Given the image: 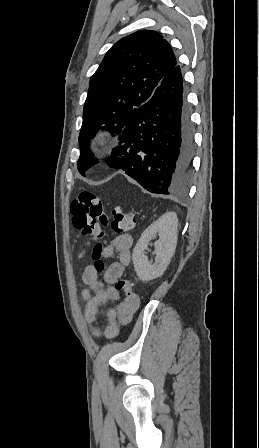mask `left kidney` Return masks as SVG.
Masks as SVG:
<instances>
[{
  "instance_id": "left-kidney-1",
  "label": "left kidney",
  "mask_w": 259,
  "mask_h": 448,
  "mask_svg": "<svg viewBox=\"0 0 259 448\" xmlns=\"http://www.w3.org/2000/svg\"><path fill=\"white\" fill-rule=\"evenodd\" d=\"M177 228L178 220L175 212H166L154 224H151L145 232H143L139 242H137L132 260L135 272L142 282H149L163 276L167 266L171 262L172 256L175 254L177 246ZM159 236V240L155 242L156 258L154 264L149 262L145 256V250L152 238Z\"/></svg>"
}]
</instances>
